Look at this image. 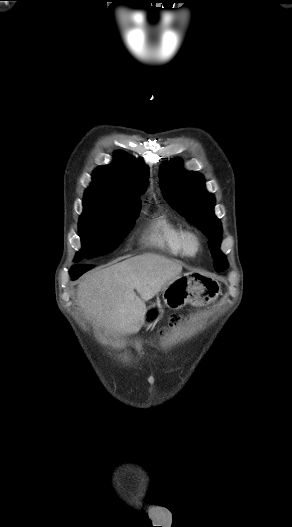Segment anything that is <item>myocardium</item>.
<instances>
[{
  "mask_svg": "<svg viewBox=\"0 0 292 527\" xmlns=\"http://www.w3.org/2000/svg\"><path fill=\"white\" fill-rule=\"evenodd\" d=\"M181 244L186 256L195 257L201 250L202 240L197 232L185 230L182 234Z\"/></svg>",
  "mask_w": 292,
  "mask_h": 527,
  "instance_id": "obj_1",
  "label": "myocardium"
}]
</instances>
